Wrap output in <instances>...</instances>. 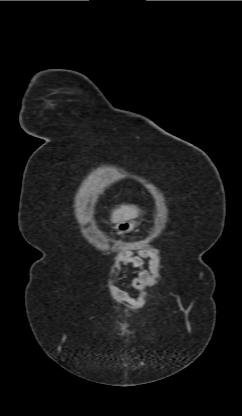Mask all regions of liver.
<instances>
[{"label": "liver", "instance_id": "liver-1", "mask_svg": "<svg viewBox=\"0 0 242 416\" xmlns=\"http://www.w3.org/2000/svg\"><path fill=\"white\" fill-rule=\"evenodd\" d=\"M140 209L135 205H120L112 211L111 222L112 223H121L129 221L138 217Z\"/></svg>", "mask_w": 242, "mask_h": 416}]
</instances>
